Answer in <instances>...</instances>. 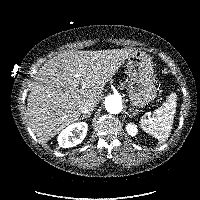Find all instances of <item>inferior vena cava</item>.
Masks as SVG:
<instances>
[{
    "label": "inferior vena cava",
    "mask_w": 200,
    "mask_h": 200,
    "mask_svg": "<svg viewBox=\"0 0 200 200\" xmlns=\"http://www.w3.org/2000/svg\"><path fill=\"white\" fill-rule=\"evenodd\" d=\"M95 103L90 101V100H86L82 103L81 107H80V111L83 114H88L90 112L93 111L94 107H95Z\"/></svg>",
    "instance_id": "inferior-vena-cava-1"
}]
</instances>
